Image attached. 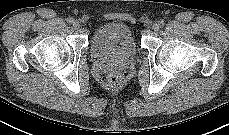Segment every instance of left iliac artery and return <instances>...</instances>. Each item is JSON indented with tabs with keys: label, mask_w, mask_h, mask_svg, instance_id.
I'll return each mask as SVG.
<instances>
[{
	"label": "left iliac artery",
	"mask_w": 229,
	"mask_h": 135,
	"mask_svg": "<svg viewBox=\"0 0 229 135\" xmlns=\"http://www.w3.org/2000/svg\"><path fill=\"white\" fill-rule=\"evenodd\" d=\"M159 25L163 27L165 25V22L163 20L159 21Z\"/></svg>",
	"instance_id": "44dca946"
}]
</instances>
